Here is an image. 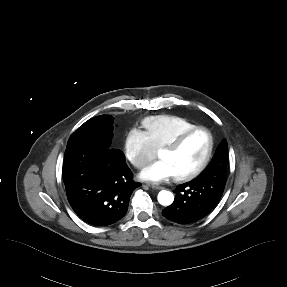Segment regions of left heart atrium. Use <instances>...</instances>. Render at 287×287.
Masks as SVG:
<instances>
[{
    "label": "left heart atrium",
    "mask_w": 287,
    "mask_h": 287,
    "mask_svg": "<svg viewBox=\"0 0 287 287\" xmlns=\"http://www.w3.org/2000/svg\"><path fill=\"white\" fill-rule=\"evenodd\" d=\"M173 177H175L173 170L169 164L162 159L149 164L140 173L142 180L154 183H159Z\"/></svg>",
    "instance_id": "obj_1"
}]
</instances>
